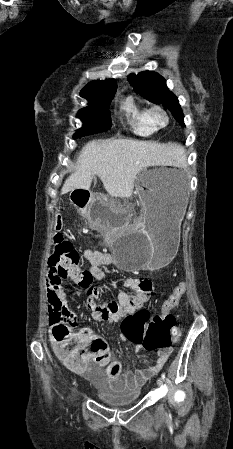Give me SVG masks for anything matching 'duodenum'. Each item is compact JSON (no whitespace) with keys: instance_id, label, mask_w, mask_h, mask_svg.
Returning a JSON list of instances; mask_svg holds the SVG:
<instances>
[{"instance_id":"410a0bca","label":"duodenum","mask_w":233,"mask_h":449,"mask_svg":"<svg viewBox=\"0 0 233 449\" xmlns=\"http://www.w3.org/2000/svg\"><path fill=\"white\" fill-rule=\"evenodd\" d=\"M71 203L72 206H91V191H87L86 186H75Z\"/></svg>"}]
</instances>
